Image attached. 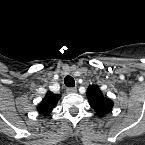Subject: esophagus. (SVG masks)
Returning <instances> with one entry per match:
<instances>
[{
    "label": "esophagus",
    "instance_id": "obj_1",
    "mask_svg": "<svg viewBox=\"0 0 145 145\" xmlns=\"http://www.w3.org/2000/svg\"><path fill=\"white\" fill-rule=\"evenodd\" d=\"M66 92L71 94V93H76L77 92V89L75 87H68L66 89Z\"/></svg>",
    "mask_w": 145,
    "mask_h": 145
}]
</instances>
